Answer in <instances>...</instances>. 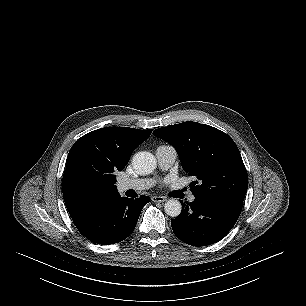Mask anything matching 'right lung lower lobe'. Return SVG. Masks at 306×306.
I'll list each match as a JSON object with an SVG mask.
<instances>
[{
  "mask_svg": "<svg viewBox=\"0 0 306 306\" xmlns=\"http://www.w3.org/2000/svg\"><path fill=\"white\" fill-rule=\"evenodd\" d=\"M149 201L145 195L135 200L119 197L73 222L80 233L94 243H118L133 232L142 208Z\"/></svg>",
  "mask_w": 306,
  "mask_h": 306,
  "instance_id": "98d812e1",
  "label": "right lung lower lobe"
}]
</instances>
